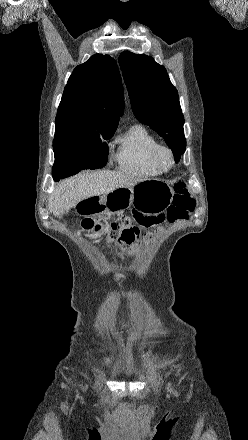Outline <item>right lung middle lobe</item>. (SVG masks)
<instances>
[{
    "instance_id": "dd1d6c3e",
    "label": "right lung middle lobe",
    "mask_w": 248,
    "mask_h": 440,
    "mask_svg": "<svg viewBox=\"0 0 248 440\" xmlns=\"http://www.w3.org/2000/svg\"><path fill=\"white\" fill-rule=\"evenodd\" d=\"M114 132L115 130L94 132L79 141L53 147L54 180L59 181L84 169H98L105 166L109 153L105 140L110 139Z\"/></svg>"
}]
</instances>
